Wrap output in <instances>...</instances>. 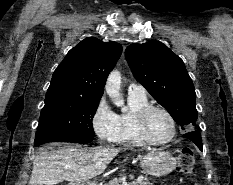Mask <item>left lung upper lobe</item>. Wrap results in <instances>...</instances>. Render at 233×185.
<instances>
[{
    "mask_svg": "<svg viewBox=\"0 0 233 185\" xmlns=\"http://www.w3.org/2000/svg\"><path fill=\"white\" fill-rule=\"evenodd\" d=\"M125 57L135 79L183 130L195 125V89L180 57L159 41L132 44Z\"/></svg>",
    "mask_w": 233,
    "mask_h": 185,
    "instance_id": "obj_1",
    "label": "left lung upper lobe"
}]
</instances>
